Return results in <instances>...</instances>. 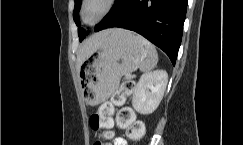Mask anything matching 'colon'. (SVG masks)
Returning a JSON list of instances; mask_svg holds the SVG:
<instances>
[{
	"label": "colon",
	"instance_id": "1",
	"mask_svg": "<svg viewBox=\"0 0 243 145\" xmlns=\"http://www.w3.org/2000/svg\"><path fill=\"white\" fill-rule=\"evenodd\" d=\"M133 90L134 82L131 80L124 81L113 95L112 100L101 104L98 111L91 115L89 120L91 129L94 131L103 130L102 140H97L94 145H111L110 139L113 133L110 129L113 127L114 107L121 105L125 96L131 94ZM116 123L119 128L127 131L128 137L132 140H140L144 135V124L135 119L134 112L129 107H123L118 111Z\"/></svg>",
	"mask_w": 243,
	"mask_h": 145
}]
</instances>
